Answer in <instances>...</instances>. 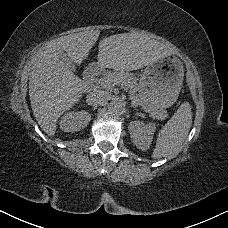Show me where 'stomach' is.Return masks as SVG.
Wrapping results in <instances>:
<instances>
[{
    "label": "stomach",
    "instance_id": "obj_1",
    "mask_svg": "<svg viewBox=\"0 0 228 228\" xmlns=\"http://www.w3.org/2000/svg\"><path fill=\"white\" fill-rule=\"evenodd\" d=\"M183 65L175 56L147 66L139 75L138 96L149 109L170 108L182 89Z\"/></svg>",
    "mask_w": 228,
    "mask_h": 228
}]
</instances>
